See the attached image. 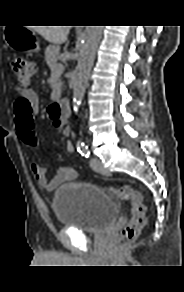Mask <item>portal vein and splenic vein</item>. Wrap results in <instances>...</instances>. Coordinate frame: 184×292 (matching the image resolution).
I'll return each mask as SVG.
<instances>
[{"mask_svg": "<svg viewBox=\"0 0 184 292\" xmlns=\"http://www.w3.org/2000/svg\"><path fill=\"white\" fill-rule=\"evenodd\" d=\"M55 70H56L57 72H63V70H64V66H63L62 64H59V65L55 68Z\"/></svg>", "mask_w": 184, "mask_h": 292, "instance_id": "1", "label": "portal vein and splenic vein"}]
</instances>
